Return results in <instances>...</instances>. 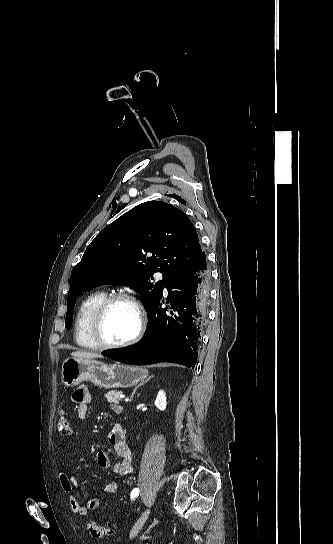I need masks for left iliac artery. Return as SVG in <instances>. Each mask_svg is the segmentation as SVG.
Masks as SVG:
<instances>
[{
    "instance_id": "44dca946",
    "label": "left iliac artery",
    "mask_w": 333,
    "mask_h": 544,
    "mask_svg": "<svg viewBox=\"0 0 333 544\" xmlns=\"http://www.w3.org/2000/svg\"><path fill=\"white\" fill-rule=\"evenodd\" d=\"M139 495V489L134 488L131 492V499L134 500Z\"/></svg>"
}]
</instances>
